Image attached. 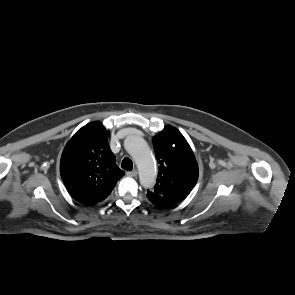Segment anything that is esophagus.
Instances as JSON below:
<instances>
[{"mask_svg":"<svg viewBox=\"0 0 295 295\" xmlns=\"http://www.w3.org/2000/svg\"><path fill=\"white\" fill-rule=\"evenodd\" d=\"M126 175L129 176V177H135V176H137V170L128 171L126 173Z\"/></svg>","mask_w":295,"mask_h":295,"instance_id":"esophagus-1","label":"esophagus"}]
</instances>
